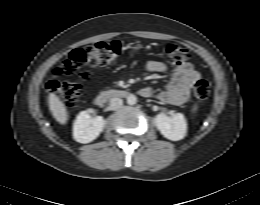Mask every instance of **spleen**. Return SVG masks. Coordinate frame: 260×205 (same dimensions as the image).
<instances>
[{
    "label": "spleen",
    "mask_w": 260,
    "mask_h": 205,
    "mask_svg": "<svg viewBox=\"0 0 260 205\" xmlns=\"http://www.w3.org/2000/svg\"><path fill=\"white\" fill-rule=\"evenodd\" d=\"M196 109H197V107L195 106V107L193 108V111H196Z\"/></svg>",
    "instance_id": "obj_1"
}]
</instances>
